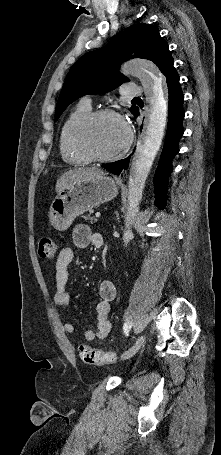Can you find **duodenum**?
<instances>
[{"instance_id":"410a0bca","label":"duodenum","mask_w":221,"mask_h":455,"mask_svg":"<svg viewBox=\"0 0 221 455\" xmlns=\"http://www.w3.org/2000/svg\"><path fill=\"white\" fill-rule=\"evenodd\" d=\"M103 243H104V239L101 240L100 242H98L97 246H98V247H101V246L103 245Z\"/></svg>"}]
</instances>
